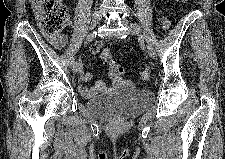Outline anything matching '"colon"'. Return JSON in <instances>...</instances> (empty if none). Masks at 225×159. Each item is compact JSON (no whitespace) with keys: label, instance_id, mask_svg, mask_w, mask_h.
I'll return each instance as SVG.
<instances>
[{"label":"colon","instance_id":"obj_1","mask_svg":"<svg viewBox=\"0 0 225 159\" xmlns=\"http://www.w3.org/2000/svg\"><path fill=\"white\" fill-rule=\"evenodd\" d=\"M38 17L39 22L44 32L50 36H63L62 31L69 21V15L66 6L61 0H39L38 1ZM171 22L167 16L162 17V26L168 29ZM64 40L62 39V44ZM100 57L104 60L110 69V75L115 79H121L125 73L122 65L118 64L112 57V53L108 48L100 52ZM150 69L145 68L140 73V78L144 81L152 78Z\"/></svg>","mask_w":225,"mask_h":159}]
</instances>
